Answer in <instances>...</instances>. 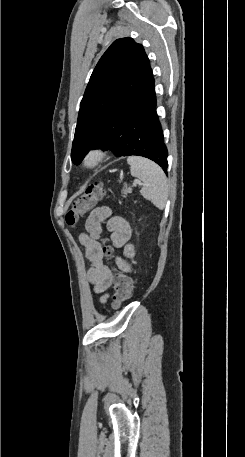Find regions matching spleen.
I'll return each mask as SVG.
<instances>
[{
	"label": "spleen",
	"mask_w": 245,
	"mask_h": 457,
	"mask_svg": "<svg viewBox=\"0 0 245 457\" xmlns=\"http://www.w3.org/2000/svg\"><path fill=\"white\" fill-rule=\"evenodd\" d=\"M130 172L143 182L140 190L142 196L151 200L157 208L163 210L168 198V184L164 170L159 164L144 156H128Z\"/></svg>",
	"instance_id": "1"
}]
</instances>
